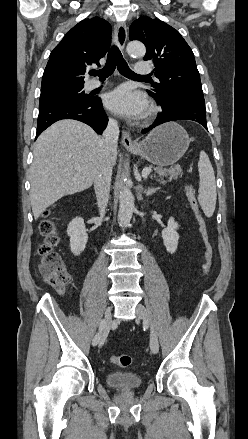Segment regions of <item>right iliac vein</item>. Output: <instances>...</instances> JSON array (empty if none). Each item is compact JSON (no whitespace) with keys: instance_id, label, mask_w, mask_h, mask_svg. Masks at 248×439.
<instances>
[{"instance_id":"right-iliac-vein-1","label":"right iliac vein","mask_w":248,"mask_h":439,"mask_svg":"<svg viewBox=\"0 0 248 439\" xmlns=\"http://www.w3.org/2000/svg\"><path fill=\"white\" fill-rule=\"evenodd\" d=\"M103 323L105 324V327L101 329L102 334L97 342V344L99 345V347H101L106 339L107 333L110 329V325H111V307H108L105 311V316L104 319L102 320Z\"/></svg>"}]
</instances>
